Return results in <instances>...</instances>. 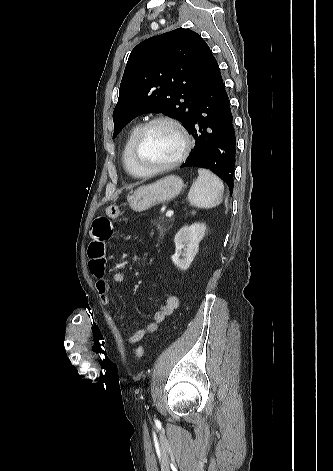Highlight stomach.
Listing matches in <instances>:
<instances>
[{
	"label": "stomach",
	"instance_id": "1",
	"mask_svg": "<svg viewBox=\"0 0 333 471\" xmlns=\"http://www.w3.org/2000/svg\"><path fill=\"white\" fill-rule=\"evenodd\" d=\"M183 187V181L176 175L166 176L155 183L144 185L128 197L129 207L135 212H143L151 207L166 203L177 197Z\"/></svg>",
	"mask_w": 333,
	"mask_h": 471
}]
</instances>
